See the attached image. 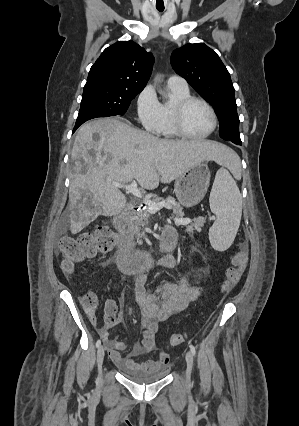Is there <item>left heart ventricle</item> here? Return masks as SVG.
<instances>
[{"mask_svg": "<svg viewBox=\"0 0 299 426\" xmlns=\"http://www.w3.org/2000/svg\"><path fill=\"white\" fill-rule=\"evenodd\" d=\"M186 129L192 134H205L213 124L210 111L199 102L192 103L186 110L184 116Z\"/></svg>", "mask_w": 299, "mask_h": 426, "instance_id": "b2bd125f", "label": "left heart ventricle"}]
</instances>
